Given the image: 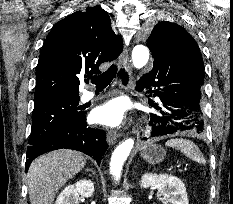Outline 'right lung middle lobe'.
<instances>
[{
    "mask_svg": "<svg viewBox=\"0 0 233 204\" xmlns=\"http://www.w3.org/2000/svg\"><path fill=\"white\" fill-rule=\"evenodd\" d=\"M79 99V96H58L34 103L29 146L34 145L79 116L82 113L78 107Z\"/></svg>",
    "mask_w": 233,
    "mask_h": 204,
    "instance_id": "obj_1",
    "label": "right lung middle lobe"
}]
</instances>
